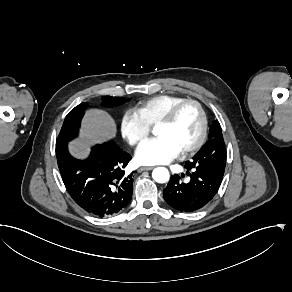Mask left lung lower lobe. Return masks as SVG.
<instances>
[{"mask_svg": "<svg viewBox=\"0 0 292 292\" xmlns=\"http://www.w3.org/2000/svg\"><path fill=\"white\" fill-rule=\"evenodd\" d=\"M190 180L183 182L182 176H171L163 190L165 201L180 212H194L207 205L217 193L224 172L203 171L192 164H185Z\"/></svg>", "mask_w": 292, "mask_h": 292, "instance_id": "obj_1", "label": "left lung lower lobe"}]
</instances>
